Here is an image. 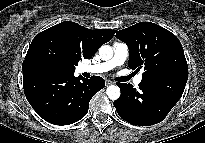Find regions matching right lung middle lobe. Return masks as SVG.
<instances>
[{
	"instance_id": "right-lung-middle-lobe-1",
	"label": "right lung middle lobe",
	"mask_w": 205,
	"mask_h": 143,
	"mask_svg": "<svg viewBox=\"0 0 205 143\" xmlns=\"http://www.w3.org/2000/svg\"><path fill=\"white\" fill-rule=\"evenodd\" d=\"M81 60L76 48L62 35L39 33L31 42L24 62H37L74 72Z\"/></svg>"
}]
</instances>
